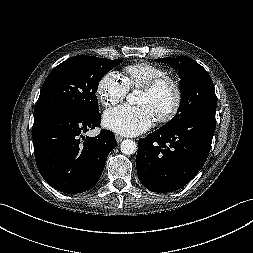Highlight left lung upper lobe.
I'll list each match as a JSON object with an SVG mask.
<instances>
[{
  "label": "left lung upper lobe",
  "mask_w": 253,
  "mask_h": 253,
  "mask_svg": "<svg viewBox=\"0 0 253 253\" xmlns=\"http://www.w3.org/2000/svg\"><path fill=\"white\" fill-rule=\"evenodd\" d=\"M178 69L180 77L181 103L176 115L162 129H172L186 119L199 114H215L217 100L215 89L208 72L191 58H161Z\"/></svg>",
  "instance_id": "left-lung-upper-lobe-1"
}]
</instances>
